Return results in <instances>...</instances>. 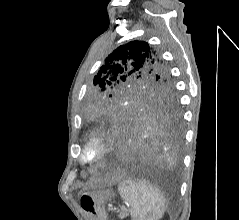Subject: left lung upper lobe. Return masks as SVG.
<instances>
[{
  "mask_svg": "<svg viewBox=\"0 0 239 220\" xmlns=\"http://www.w3.org/2000/svg\"><path fill=\"white\" fill-rule=\"evenodd\" d=\"M83 106V117L95 123L110 108L179 112L170 71L160 53L144 41L115 49L99 68Z\"/></svg>",
  "mask_w": 239,
  "mask_h": 220,
  "instance_id": "obj_1",
  "label": "left lung upper lobe"
}]
</instances>
